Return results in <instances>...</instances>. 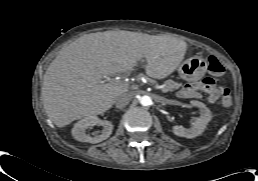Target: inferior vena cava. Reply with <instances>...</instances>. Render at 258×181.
Returning a JSON list of instances; mask_svg holds the SVG:
<instances>
[{
  "label": "inferior vena cava",
  "mask_w": 258,
  "mask_h": 181,
  "mask_svg": "<svg viewBox=\"0 0 258 181\" xmlns=\"http://www.w3.org/2000/svg\"><path fill=\"white\" fill-rule=\"evenodd\" d=\"M132 95L128 92L122 93L119 96L116 97L114 104L116 108H123L125 107L131 100Z\"/></svg>",
  "instance_id": "1"
}]
</instances>
